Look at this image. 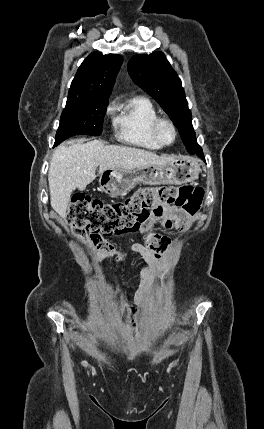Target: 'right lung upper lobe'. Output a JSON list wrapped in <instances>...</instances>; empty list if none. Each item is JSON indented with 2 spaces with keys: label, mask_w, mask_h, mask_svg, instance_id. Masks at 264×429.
I'll return each mask as SVG.
<instances>
[{
  "label": "right lung upper lobe",
  "mask_w": 264,
  "mask_h": 429,
  "mask_svg": "<svg viewBox=\"0 0 264 429\" xmlns=\"http://www.w3.org/2000/svg\"><path fill=\"white\" fill-rule=\"evenodd\" d=\"M122 61L117 54L91 53L80 65L68 97L108 99Z\"/></svg>",
  "instance_id": "right-lung-upper-lobe-1"
}]
</instances>
